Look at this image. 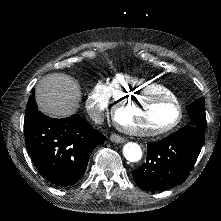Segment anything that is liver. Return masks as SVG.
Returning <instances> with one entry per match:
<instances>
[{"instance_id": "liver-1", "label": "liver", "mask_w": 221, "mask_h": 221, "mask_svg": "<svg viewBox=\"0 0 221 221\" xmlns=\"http://www.w3.org/2000/svg\"><path fill=\"white\" fill-rule=\"evenodd\" d=\"M36 102L41 112L56 118L75 114L80 107L79 84L63 73L48 74L35 87Z\"/></svg>"}]
</instances>
